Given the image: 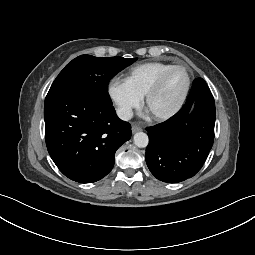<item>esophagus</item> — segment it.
<instances>
[{
  "instance_id": "1",
  "label": "esophagus",
  "mask_w": 255,
  "mask_h": 255,
  "mask_svg": "<svg viewBox=\"0 0 255 255\" xmlns=\"http://www.w3.org/2000/svg\"><path fill=\"white\" fill-rule=\"evenodd\" d=\"M141 130H142V129H141V127H139V126H136V125L132 126V132H133V133H136V132L141 131Z\"/></svg>"
}]
</instances>
